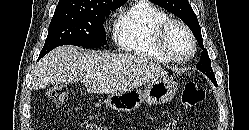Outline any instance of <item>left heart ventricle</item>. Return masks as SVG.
I'll list each match as a JSON object with an SVG mask.
<instances>
[{"label": "left heart ventricle", "mask_w": 249, "mask_h": 130, "mask_svg": "<svg viewBox=\"0 0 249 130\" xmlns=\"http://www.w3.org/2000/svg\"><path fill=\"white\" fill-rule=\"evenodd\" d=\"M169 51L178 58H185L191 51V43L187 34L179 27H174L168 36Z\"/></svg>", "instance_id": "b2bd125f"}]
</instances>
